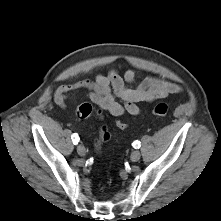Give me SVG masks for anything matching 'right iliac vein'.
Wrapping results in <instances>:
<instances>
[{
	"label": "right iliac vein",
	"mask_w": 221,
	"mask_h": 221,
	"mask_svg": "<svg viewBox=\"0 0 221 221\" xmlns=\"http://www.w3.org/2000/svg\"><path fill=\"white\" fill-rule=\"evenodd\" d=\"M77 152L80 156H85L86 155V149L83 145H78L77 146Z\"/></svg>",
	"instance_id": "right-iliac-vein-1"
}]
</instances>
